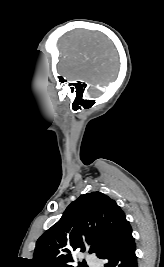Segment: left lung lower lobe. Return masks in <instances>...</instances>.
<instances>
[{
  "label": "left lung lower lobe",
  "instance_id": "1",
  "mask_svg": "<svg viewBox=\"0 0 164 267\" xmlns=\"http://www.w3.org/2000/svg\"><path fill=\"white\" fill-rule=\"evenodd\" d=\"M135 247L132 229L127 221L98 258L105 261L104 267H138Z\"/></svg>",
  "mask_w": 164,
  "mask_h": 267
}]
</instances>
